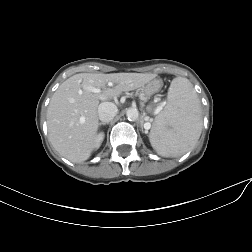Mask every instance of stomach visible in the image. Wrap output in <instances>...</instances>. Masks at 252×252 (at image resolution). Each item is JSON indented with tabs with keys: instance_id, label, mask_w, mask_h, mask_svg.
Returning a JSON list of instances; mask_svg holds the SVG:
<instances>
[{
	"instance_id": "obj_1",
	"label": "stomach",
	"mask_w": 252,
	"mask_h": 252,
	"mask_svg": "<svg viewBox=\"0 0 252 252\" xmlns=\"http://www.w3.org/2000/svg\"><path fill=\"white\" fill-rule=\"evenodd\" d=\"M162 87V82L160 80L154 79L149 81L145 86L142 87L141 93L145 97H150L151 95L157 93Z\"/></svg>"
}]
</instances>
